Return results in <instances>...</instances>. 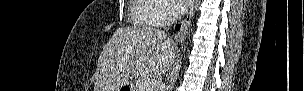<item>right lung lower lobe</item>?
I'll return each mask as SVG.
<instances>
[{
	"label": "right lung lower lobe",
	"instance_id": "right-lung-lower-lobe-1",
	"mask_svg": "<svg viewBox=\"0 0 304 91\" xmlns=\"http://www.w3.org/2000/svg\"><path fill=\"white\" fill-rule=\"evenodd\" d=\"M179 29H180V25H177V26H176V30H179Z\"/></svg>",
	"mask_w": 304,
	"mask_h": 91
}]
</instances>
